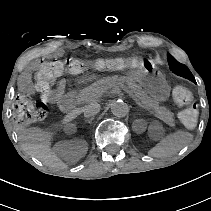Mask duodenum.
I'll list each match as a JSON object with an SVG mask.
<instances>
[{
    "mask_svg": "<svg viewBox=\"0 0 211 211\" xmlns=\"http://www.w3.org/2000/svg\"><path fill=\"white\" fill-rule=\"evenodd\" d=\"M74 105L75 101L72 94L65 95L59 102L60 109L65 113L71 112L74 108Z\"/></svg>",
    "mask_w": 211,
    "mask_h": 211,
    "instance_id": "410a0bca",
    "label": "duodenum"
}]
</instances>
